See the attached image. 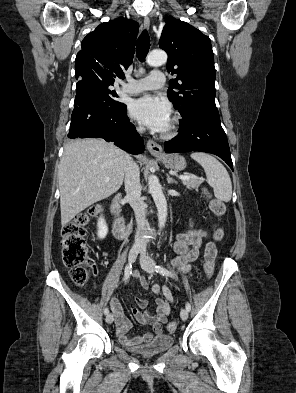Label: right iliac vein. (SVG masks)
Segmentation results:
<instances>
[{"mask_svg": "<svg viewBox=\"0 0 296 393\" xmlns=\"http://www.w3.org/2000/svg\"><path fill=\"white\" fill-rule=\"evenodd\" d=\"M140 252V248L139 247H133L131 250H130V252H129V255H128V261L130 262V263H133L135 260H136V258H137V255H138V253ZM106 322L108 323V324H111L112 322H113V320H114V315L112 314V313H110V314H108L107 316H106Z\"/></svg>", "mask_w": 296, "mask_h": 393, "instance_id": "obj_1", "label": "right iliac vein"}]
</instances>
